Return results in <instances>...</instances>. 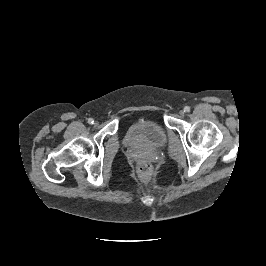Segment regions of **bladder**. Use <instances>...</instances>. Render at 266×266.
I'll return each instance as SVG.
<instances>
[{"label":"bladder","instance_id":"obj_1","mask_svg":"<svg viewBox=\"0 0 266 266\" xmlns=\"http://www.w3.org/2000/svg\"><path fill=\"white\" fill-rule=\"evenodd\" d=\"M124 143L136 151L154 150L165 146L167 133L158 122L144 119L127 127L124 132Z\"/></svg>","mask_w":266,"mask_h":266}]
</instances>
